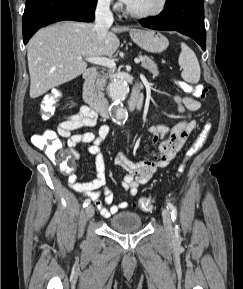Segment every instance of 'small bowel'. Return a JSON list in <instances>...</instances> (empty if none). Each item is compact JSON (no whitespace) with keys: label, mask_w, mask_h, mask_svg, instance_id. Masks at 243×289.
<instances>
[{"label":"small bowel","mask_w":243,"mask_h":289,"mask_svg":"<svg viewBox=\"0 0 243 289\" xmlns=\"http://www.w3.org/2000/svg\"><path fill=\"white\" fill-rule=\"evenodd\" d=\"M174 101L177 105V113L181 116L174 126L168 128L164 124H153L148 127L153 146L151 159L133 162L123 152L117 153L114 159L115 165L125 173L122 187L132 196L137 195L140 186L147 184L159 169L166 167L175 158L196 127V120L192 118V113L200 109L201 103L192 96L179 95L174 96ZM97 121L98 115L90 107L83 105L76 113L63 116L54 132L57 137L66 140L75 160L80 157L75 149L79 145H86L87 152L95 157L97 176L94 180L78 182L77 176L72 173L68 183L74 191L92 200L100 213L108 218L129 206L126 201L113 204L114 194L106 187L105 158L101 145L106 140L110 128L108 125H101L96 133H74L76 130L95 126ZM101 195L104 196L103 199Z\"/></svg>","instance_id":"c3829d8e"}]
</instances>
